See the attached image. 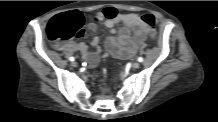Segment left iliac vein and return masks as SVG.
I'll use <instances>...</instances> for the list:
<instances>
[{
	"mask_svg": "<svg viewBox=\"0 0 218 122\" xmlns=\"http://www.w3.org/2000/svg\"><path fill=\"white\" fill-rule=\"evenodd\" d=\"M140 67V63L138 61H135L133 64H132V68L134 69H137Z\"/></svg>",
	"mask_w": 218,
	"mask_h": 122,
	"instance_id": "obj_1",
	"label": "left iliac vein"
}]
</instances>
